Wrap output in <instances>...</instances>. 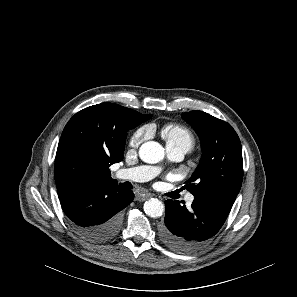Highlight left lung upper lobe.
Returning a JSON list of instances; mask_svg holds the SVG:
<instances>
[{"instance_id": "obj_1", "label": "left lung upper lobe", "mask_w": 297, "mask_h": 297, "mask_svg": "<svg viewBox=\"0 0 297 297\" xmlns=\"http://www.w3.org/2000/svg\"><path fill=\"white\" fill-rule=\"evenodd\" d=\"M201 140L202 156L186 181L194 197L225 195L236 197L243 178L242 148L230 124L203 111L182 114Z\"/></svg>"}]
</instances>
